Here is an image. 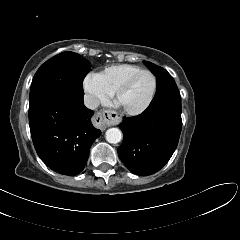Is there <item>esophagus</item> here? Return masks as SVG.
<instances>
[{
	"instance_id": "obj_1",
	"label": "esophagus",
	"mask_w": 240,
	"mask_h": 240,
	"mask_svg": "<svg viewBox=\"0 0 240 240\" xmlns=\"http://www.w3.org/2000/svg\"><path fill=\"white\" fill-rule=\"evenodd\" d=\"M120 117L112 111L104 110L98 112L94 117V124L100 129L104 130L111 124L115 123Z\"/></svg>"
}]
</instances>
